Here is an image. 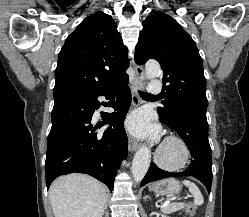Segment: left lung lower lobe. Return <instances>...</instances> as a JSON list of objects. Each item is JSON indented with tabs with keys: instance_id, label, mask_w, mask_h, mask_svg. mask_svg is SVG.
Masks as SVG:
<instances>
[{
	"instance_id": "left-lung-lower-lobe-1",
	"label": "left lung lower lobe",
	"mask_w": 249,
	"mask_h": 217,
	"mask_svg": "<svg viewBox=\"0 0 249 217\" xmlns=\"http://www.w3.org/2000/svg\"><path fill=\"white\" fill-rule=\"evenodd\" d=\"M162 122V121H161ZM164 123V122H162ZM175 130L186 142L192 156L189 169L179 173H170L151 163L150 168L141 182V186L149 182L174 176H193L200 180L207 191H211L212 159L208 141V123L206 113L197 111H182L177 114L173 124H167Z\"/></svg>"
}]
</instances>
